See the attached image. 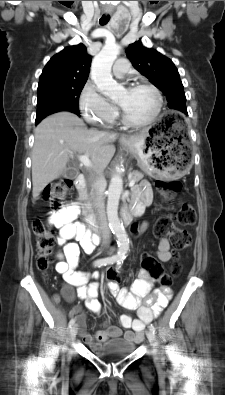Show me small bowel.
<instances>
[{
	"label": "small bowel",
	"mask_w": 225,
	"mask_h": 395,
	"mask_svg": "<svg viewBox=\"0 0 225 395\" xmlns=\"http://www.w3.org/2000/svg\"><path fill=\"white\" fill-rule=\"evenodd\" d=\"M153 194L150 184L147 181L141 182L134 189L132 209L141 213L143 209L152 203ZM79 214V207L73 204L59 212L50 214L48 222L59 229L57 244L61 247L59 261L55 269L64 280L72 286L77 287L78 296L85 301L87 309L95 314L101 312V304L97 299L99 285L97 282L88 283V276L76 271L79 263V253L81 247L86 253H92L98 244V237L88 231L85 226L76 221ZM142 225V229L146 228ZM73 240L77 241L73 242ZM172 257L170 243L167 238H161L157 249V258L160 262H168ZM94 278L98 275L94 274ZM155 281L152 275L147 272L138 273V278L132 283L130 289L120 288L115 283H108L107 289L117 299L119 305L127 310H137L138 318L133 319L129 314H122L119 317L122 327L129 329L122 331L115 326H109L97 332L95 337L85 331L86 316L79 306L74 307L71 315H76L80 327L81 339L89 345L95 343H105L111 338L122 337L133 343H139L144 338V328L161 310L167 305L171 290L169 288H153ZM68 300L73 298L70 289L65 290ZM144 300V304H142Z\"/></svg>",
	"instance_id": "c3829d8e"
}]
</instances>
